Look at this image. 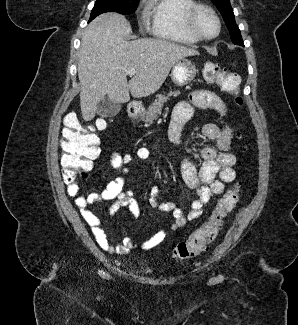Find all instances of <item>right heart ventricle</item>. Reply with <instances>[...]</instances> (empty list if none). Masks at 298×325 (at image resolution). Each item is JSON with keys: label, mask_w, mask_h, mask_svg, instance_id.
Masks as SVG:
<instances>
[{"label": "right heart ventricle", "mask_w": 298, "mask_h": 325, "mask_svg": "<svg viewBox=\"0 0 298 325\" xmlns=\"http://www.w3.org/2000/svg\"><path fill=\"white\" fill-rule=\"evenodd\" d=\"M196 3L191 0H161L145 3L144 13L151 27L150 37L164 41H180V46H194L199 42L183 28L182 17Z\"/></svg>", "instance_id": "1"}]
</instances>
